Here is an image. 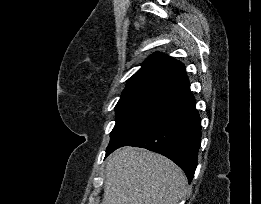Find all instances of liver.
Returning <instances> with one entry per match:
<instances>
[{
	"instance_id": "6515ba94",
	"label": "liver",
	"mask_w": 261,
	"mask_h": 204,
	"mask_svg": "<svg viewBox=\"0 0 261 204\" xmlns=\"http://www.w3.org/2000/svg\"><path fill=\"white\" fill-rule=\"evenodd\" d=\"M187 179L170 159L146 149L121 148L106 163L101 204H178Z\"/></svg>"
}]
</instances>
